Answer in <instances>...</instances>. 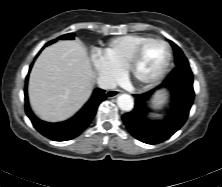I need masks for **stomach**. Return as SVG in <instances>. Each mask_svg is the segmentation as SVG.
<instances>
[{
  "instance_id": "1",
  "label": "stomach",
  "mask_w": 222,
  "mask_h": 187,
  "mask_svg": "<svg viewBox=\"0 0 222 187\" xmlns=\"http://www.w3.org/2000/svg\"><path fill=\"white\" fill-rule=\"evenodd\" d=\"M167 103V96L165 92H158L150 101L149 106L153 110H159L163 108Z\"/></svg>"
}]
</instances>
